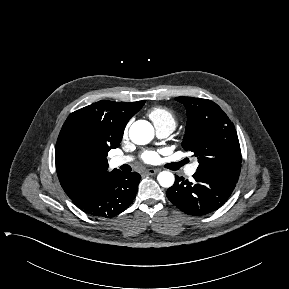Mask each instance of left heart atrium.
Returning a JSON list of instances; mask_svg holds the SVG:
<instances>
[{
	"mask_svg": "<svg viewBox=\"0 0 289 289\" xmlns=\"http://www.w3.org/2000/svg\"><path fill=\"white\" fill-rule=\"evenodd\" d=\"M142 159L145 163L155 164L160 160V153L156 151H146L143 154Z\"/></svg>",
	"mask_w": 289,
	"mask_h": 289,
	"instance_id": "left-heart-atrium-1",
	"label": "left heart atrium"
}]
</instances>
